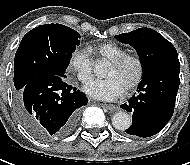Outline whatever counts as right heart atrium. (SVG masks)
Masks as SVG:
<instances>
[{"label": "right heart atrium", "mask_w": 190, "mask_h": 165, "mask_svg": "<svg viewBox=\"0 0 190 165\" xmlns=\"http://www.w3.org/2000/svg\"><path fill=\"white\" fill-rule=\"evenodd\" d=\"M68 69L77 79L86 84L93 77V60L90 52L85 48L75 49L69 57Z\"/></svg>", "instance_id": "obj_1"}]
</instances>
